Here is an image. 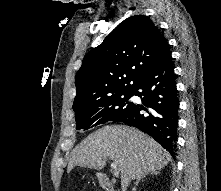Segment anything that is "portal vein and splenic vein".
<instances>
[{
  "instance_id": "18ae733b",
  "label": "portal vein and splenic vein",
  "mask_w": 221,
  "mask_h": 191,
  "mask_svg": "<svg viewBox=\"0 0 221 191\" xmlns=\"http://www.w3.org/2000/svg\"><path fill=\"white\" fill-rule=\"evenodd\" d=\"M112 167H113L114 170H115V172H114L115 176H118V175H119V170H118V168H117L116 162H113V163H112Z\"/></svg>"
}]
</instances>
